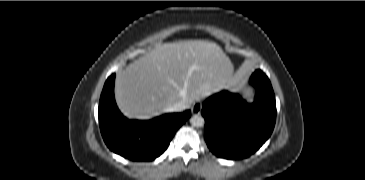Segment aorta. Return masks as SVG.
<instances>
[{
    "instance_id": "obj_1",
    "label": "aorta",
    "mask_w": 365,
    "mask_h": 180,
    "mask_svg": "<svg viewBox=\"0 0 365 180\" xmlns=\"http://www.w3.org/2000/svg\"><path fill=\"white\" fill-rule=\"evenodd\" d=\"M190 123L194 127H202L205 123V120L201 115H194L191 117Z\"/></svg>"
}]
</instances>
